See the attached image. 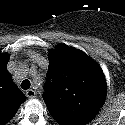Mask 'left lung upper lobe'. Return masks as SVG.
I'll use <instances>...</instances> for the list:
<instances>
[{
  "instance_id": "left-lung-upper-lobe-1",
  "label": "left lung upper lobe",
  "mask_w": 125,
  "mask_h": 125,
  "mask_svg": "<svg viewBox=\"0 0 125 125\" xmlns=\"http://www.w3.org/2000/svg\"><path fill=\"white\" fill-rule=\"evenodd\" d=\"M43 99L59 125H85L99 112L106 97L101 68L85 53L58 45L48 53Z\"/></svg>"
}]
</instances>
